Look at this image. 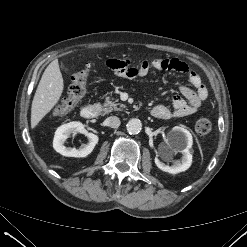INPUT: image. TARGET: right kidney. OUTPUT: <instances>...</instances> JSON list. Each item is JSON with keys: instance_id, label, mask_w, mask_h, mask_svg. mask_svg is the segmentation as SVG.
<instances>
[{"instance_id": "obj_1", "label": "right kidney", "mask_w": 247, "mask_h": 247, "mask_svg": "<svg viewBox=\"0 0 247 247\" xmlns=\"http://www.w3.org/2000/svg\"><path fill=\"white\" fill-rule=\"evenodd\" d=\"M84 134L88 138L87 144H82L79 149L65 147L64 143L70 135ZM98 136L88 132L81 122H70L60 126L54 135L53 148L56 152L67 157L83 158L88 156L98 143Z\"/></svg>"}]
</instances>
